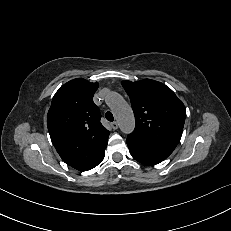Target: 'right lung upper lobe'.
Instances as JSON below:
<instances>
[{
    "label": "right lung upper lobe",
    "mask_w": 231,
    "mask_h": 231,
    "mask_svg": "<svg viewBox=\"0 0 231 231\" xmlns=\"http://www.w3.org/2000/svg\"><path fill=\"white\" fill-rule=\"evenodd\" d=\"M98 83L82 78L64 84L54 95L47 126L54 147L71 167L87 171L104 158L109 131L93 102Z\"/></svg>",
    "instance_id": "cb5924a9"
}]
</instances>
